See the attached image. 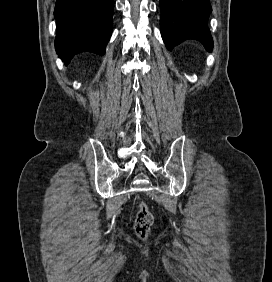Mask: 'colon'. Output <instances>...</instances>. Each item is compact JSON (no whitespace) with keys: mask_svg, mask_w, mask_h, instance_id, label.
I'll return each instance as SVG.
<instances>
[{"mask_svg":"<svg viewBox=\"0 0 272 282\" xmlns=\"http://www.w3.org/2000/svg\"><path fill=\"white\" fill-rule=\"evenodd\" d=\"M153 219V214L148 205L143 200L137 199L134 231L138 237L145 238L149 234Z\"/></svg>","mask_w":272,"mask_h":282,"instance_id":"1","label":"colon"}]
</instances>
